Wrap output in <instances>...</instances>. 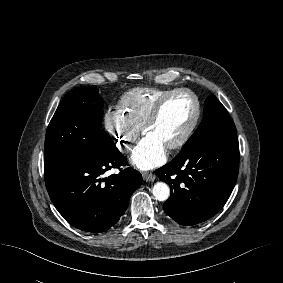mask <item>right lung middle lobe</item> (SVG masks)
I'll use <instances>...</instances> for the list:
<instances>
[{"mask_svg": "<svg viewBox=\"0 0 283 283\" xmlns=\"http://www.w3.org/2000/svg\"><path fill=\"white\" fill-rule=\"evenodd\" d=\"M103 99L94 87L68 92L52 117L45 138V172L112 143L101 130Z\"/></svg>", "mask_w": 283, "mask_h": 283, "instance_id": "right-lung-middle-lobe-1", "label": "right lung middle lobe"}]
</instances>
